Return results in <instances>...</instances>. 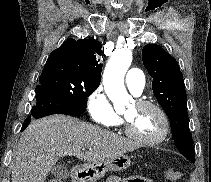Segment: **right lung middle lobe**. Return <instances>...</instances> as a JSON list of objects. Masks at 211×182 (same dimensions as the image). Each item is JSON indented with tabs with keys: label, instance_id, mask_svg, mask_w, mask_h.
I'll return each mask as SVG.
<instances>
[{
	"label": "right lung middle lobe",
	"instance_id": "dd1d6c3e",
	"mask_svg": "<svg viewBox=\"0 0 211 182\" xmlns=\"http://www.w3.org/2000/svg\"><path fill=\"white\" fill-rule=\"evenodd\" d=\"M36 93H47L66 101L78 111L86 110L87 98L100 83L87 80L59 66L44 68Z\"/></svg>",
	"mask_w": 211,
	"mask_h": 182
}]
</instances>
